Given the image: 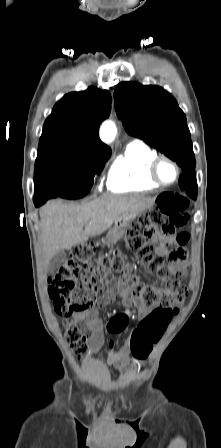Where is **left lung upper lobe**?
<instances>
[{"label":"left lung upper lobe","instance_id":"obj_1","mask_svg":"<svg viewBox=\"0 0 221 448\" xmlns=\"http://www.w3.org/2000/svg\"><path fill=\"white\" fill-rule=\"evenodd\" d=\"M114 99L128 134L143 139L183 169L195 168L186 117L170 93L159 86L122 82L115 87Z\"/></svg>","mask_w":221,"mask_h":448}]
</instances>
